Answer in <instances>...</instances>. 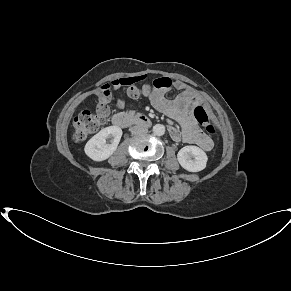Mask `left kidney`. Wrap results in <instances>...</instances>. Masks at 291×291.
<instances>
[{
    "instance_id": "obj_1",
    "label": "left kidney",
    "mask_w": 291,
    "mask_h": 291,
    "mask_svg": "<svg viewBox=\"0 0 291 291\" xmlns=\"http://www.w3.org/2000/svg\"><path fill=\"white\" fill-rule=\"evenodd\" d=\"M181 167L189 172H199L205 169L208 157L206 153L197 146H185L177 154Z\"/></svg>"
}]
</instances>
